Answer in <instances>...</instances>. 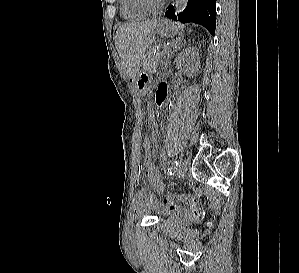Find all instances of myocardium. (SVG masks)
Here are the masks:
<instances>
[{
	"label": "myocardium",
	"mask_w": 299,
	"mask_h": 273,
	"mask_svg": "<svg viewBox=\"0 0 299 273\" xmlns=\"http://www.w3.org/2000/svg\"><path fill=\"white\" fill-rule=\"evenodd\" d=\"M134 1L139 8H141L142 10L148 13H157L161 11L167 3V0H162L159 4L156 5H152L148 0H134Z\"/></svg>",
	"instance_id": "f54148a6"
}]
</instances>
